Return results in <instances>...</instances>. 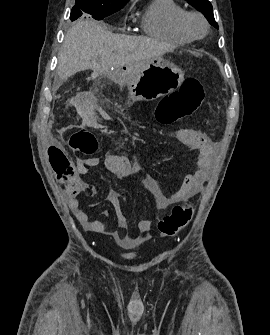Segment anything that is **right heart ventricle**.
<instances>
[{"label": "right heart ventricle", "instance_id": "e07e8e85", "mask_svg": "<svg viewBox=\"0 0 270 335\" xmlns=\"http://www.w3.org/2000/svg\"><path fill=\"white\" fill-rule=\"evenodd\" d=\"M185 12L175 0H153L141 16L142 30L149 36L173 44L192 42L180 28L179 20Z\"/></svg>", "mask_w": 270, "mask_h": 335}]
</instances>
